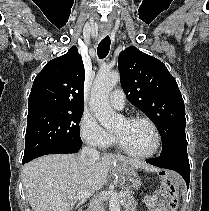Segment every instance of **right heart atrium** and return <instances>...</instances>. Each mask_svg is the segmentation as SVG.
<instances>
[{"mask_svg":"<svg viewBox=\"0 0 209 211\" xmlns=\"http://www.w3.org/2000/svg\"><path fill=\"white\" fill-rule=\"evenodd\" d=\"M79 130L82 140L95 148H105L113 142V136L89 113L83 114Z\"/></svg>","mask_w":209,"mask_h":211,"instance_id":"1","label":"right heart atrium"}]
</instances>
